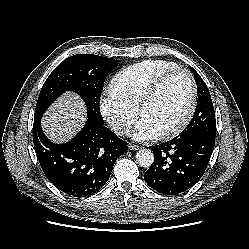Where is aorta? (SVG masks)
<instances>
[{"mask_svg":"<svg viewBox=\"0 0 249 249\" xmlns=\"http://www.w3.org/2000/svg\"><path fill=\"white\" fill-rule=\"evenodd\" d=\"M135 158L137 164L144 168H149L154 162V154L150 149H140Z\"/></svg>","mask_w":249,"mask_h":249,"instance_id":"1","label":"aorta"}]
</instances>
